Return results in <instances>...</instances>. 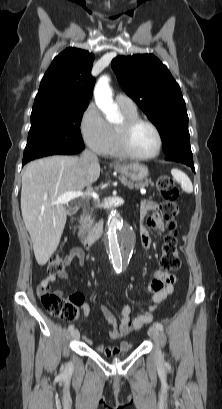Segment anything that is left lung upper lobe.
Wrapping results in <instances>:
<instances>
[{
    "label": "left lung upper lobe",
    "instance_id": "1",
    "mask_svg": "<svg viewBox=\"0 0 222 409\" xmlns=\"http://www.w3.org/2000/svg\"><path fill=\"white\" fill-rule=\"evenodd\" d=\"M111 65L126 94L157 126L166 155L191 151L185 101L167 67L152 54L119 56Z\"/></svg>",
    "mask_w": 222,
    "mask_h": 409
}]
</instances>
